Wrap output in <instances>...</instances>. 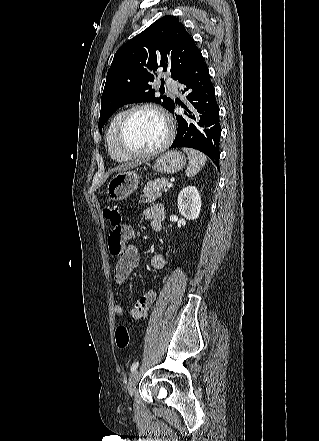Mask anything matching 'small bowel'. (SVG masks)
Segmentation results:
<instances>
[{"label":"small bowel","instance_id":"c3829d8e","mask_svg":"<svg viewBox=\"0 0 319 441\" xmlns=\"http://www.w3.org/2000/svg\"><path fill=\"white\" fill-rule=\"evenodd\" d=\"M144 216L149 222L151 228L157 232L162 231V222L165 218V209L161 204H155L144 210ZM132 230L129 226L123 225L117 231V235L110 234L109 249L113 255L118 256L115 266L114 276L119 285H122L129 277L132 270L137 267L140 255L135 245L130 242ZM151 265L155 269H163L166 265V258L162 247L151 258ZM156 299L155 292H149L140 297L132 309L130 315L134 320H143L147 317L151 305ZM116 315L121 316L124 313V306L116 304L114 306Z\"/></svg>","mask_w":319,"mask_h":441}]
</instances>
